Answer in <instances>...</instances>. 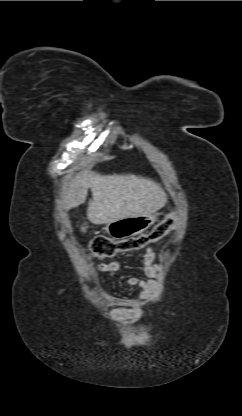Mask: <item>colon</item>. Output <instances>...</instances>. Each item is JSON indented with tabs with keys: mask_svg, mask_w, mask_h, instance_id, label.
I'll use <instances>...</instances> for the list:
<instances>
[{
	"mask_svg": "<svg viewBox=\"0 0 242 416\" xmlns=\"http://www.w3.org/2000/svg\"><path fill=\"white\" fill-rule=\"evenodd\" d=\"M176 219L170 215L159 222L149 232L135 235L121 240H113L106 236L95 237L90 243L91 253L98 259L112 258L118 254L139 250L149 244L156 243L163 239L173 230Z\"/></svg>",
	"mask_w": 242,
	"mask_h": 416,
	"instance_id": "colon-1",
	"label": "colon"
}]
</instances>
